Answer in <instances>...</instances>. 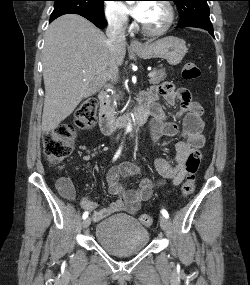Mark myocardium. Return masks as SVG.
I'll return each instance as SVG.
<instances>
[{
	"instance_id": "f54148a6",
	"label": "myocardium",
	"mask_w": 250,
	"mask_h": 285,
	"mask_svg": "<svg viewBox=\"0 0 250 285\" xmlns=\"http://www.w3.org/2000/svg\"><path fill=\"white\" fill-rule=\"evenodd\" d=\"M157 3L161 4L166 9L167 20L164 23V25L160 27L159 29H149L143 24H141L142 32L145 35L150 36V37H159V36L164 35L171 28V26L173 25L175 21V10H174L173 5L167 0H160Z\"/></svg>"
}]
</instances>
